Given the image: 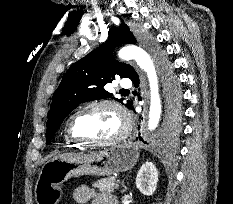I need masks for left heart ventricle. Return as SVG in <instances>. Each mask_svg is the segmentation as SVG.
Here are the masks:
<instances>
[{"label":"left heart ventricle","mask_w":233,"mask_h":204,"mask_svg":"<svg viewBox=\"0 0 233 204\" xmlns=\"http://www.w3.org/2000/svg\"><path fill=\"white\" fill-rule=\"evenodd\" d=\"M123 127L118 113L109 107H94L79 114L73 121L75 135L93 141H105L116 136Z\"/></svg>","instance_id":"1"}]
</instances>
